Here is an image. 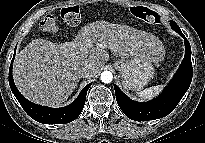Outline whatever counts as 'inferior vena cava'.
I'll return each instance as SVG.
<instances>
[{
    "mask_svg": "<svg viewBox=\"0 0 205 143\" xmlns=\"http://www.w3.org/2000/svg\"><path fill=\"white\" fill-rule=\"evenodd\" d=\"M95 68L92 65H85L80 70V75L83 78H90L95 75Z\"/></svg>",
    "mask_w": 205,
    "mask_h": 143,
    "instance_id": "1",
    "label": "inferior vena cava"
}]
</instances>
